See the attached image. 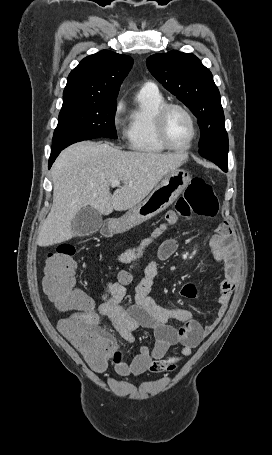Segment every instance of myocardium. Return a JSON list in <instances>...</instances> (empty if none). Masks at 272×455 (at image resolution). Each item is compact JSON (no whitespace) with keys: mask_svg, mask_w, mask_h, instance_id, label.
<instances>
[{"mask_svg":"<svg viewBox=\"0 0 272 455\" xmlns=\"http://www.w3.org/2000/svg\"><path fill=\"white\" fill-rule=\"evenodd\" d=\"M179 109L181 110L189 119L192 126V136L189 142L185 146H176L171 143L168 138L166 131V118L170 110ZM154 127L158 140L160 143L169 150L176 152H185L189 150L198 137V124L193 113L184 105L177 102H165L163 103L156 111L154 115Z\"/></svg>","mask_w":272,"mask_h":455,"instance_id":"f54148a6","label":"myocardium"}]
</instances>
